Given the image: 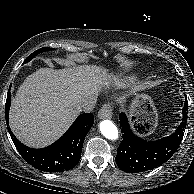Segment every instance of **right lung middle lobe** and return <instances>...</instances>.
<instances>
[{
    "label": "right lung middle lobe",
    "instance_id": "obj_1",
    "mask_svg": "<svg viewBox=\"0 0 194 194\" xmlns=\"http://www.w3.org/2000/svg\"><path fill=\"white\" fill-rule=\"evenodd\" d=\"M49 50H50L49 47H43V48H40L39 50L34 51L32 54L28 56V58L24 61V63H27L30 60H32L37 54L42 53L44 51H49Z\"/></svg>",
    "mask_w": 194,
    "mask_h": 194
}]
</instances>
